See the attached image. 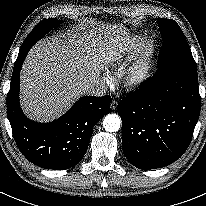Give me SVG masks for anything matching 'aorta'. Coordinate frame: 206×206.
<instances>
[{
    "mask_svg": "<svg viewBox=\"0 0 206 206\" xmlns=\"http://www.w3.org/2000/svg\"><path fill=\"white\" fill-rule=\"evenodd\" d=\"M121 119L117 114H108L103 120V127L107 132H116L120 129Z\"/></svg>",
    "mask_w": 206,
    "mask_h": 206,
    "instance_id": "762f6f07",
    "label": "aorta"
}]
</instances>
